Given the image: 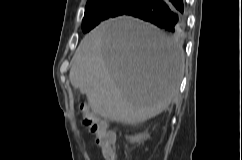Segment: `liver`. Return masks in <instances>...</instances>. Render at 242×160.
<instances>
[{"instance_id":"obj_1","label":"liver","mask_w":242,"mask_h":160,"mask_svg":"<svg viewBox=\"0 0 242 160\" xmlns=\"http://www.w3.org/2000/svg\"><path fill=\"white\" fill-rule=\"evenodd\" d=\"M71 65L70 82L94 113L137 124L162 113L178 94L184 52L177 39L122 16L87 34Z\"/></svg>"}]
</instances>
